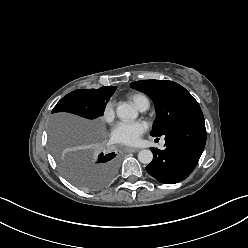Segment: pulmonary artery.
<instances>
[{
  "label": "pulmonary artery",
  "instance_id": "pulmonary-artery-1",
  "mask_svg": "<svg viewBox=\"0 0 248 248\" xmlns=\"http://www.w3.org/2000/svg\"><path fill=\"white\" fill-rule=\"evenodd\" d=\"M148 107H149V105L145 104V105L139 107L138 109L143 112V111H146L148 109Z\"/></svg>",
  "mask_w": 248,
  "mask_h": 248
}]
</instances>
